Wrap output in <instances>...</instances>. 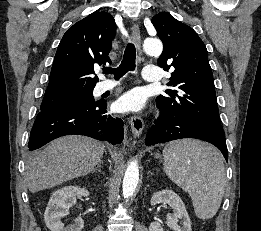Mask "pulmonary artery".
<instances>
[{
    "label": "pulmonary artery",
    "instance_id": "1",
    "mask_svg": "<svg viewBox=\"0 0 261 231\" xmlns=\"http://www.w3.org/2000/svg\"><path fill=\"white\" fill-rule=\"evenodd\" d=\"M160 68L157 66H145L143 69V79L147 82L157 83L160 81ZM118 85V82L105 81L101 84V91H106Z\"/></svg>",
    "mask_w": 261,
    "mask_h": 231
}]
</instances>
